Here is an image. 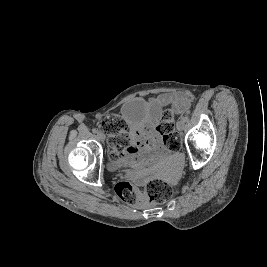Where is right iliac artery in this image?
<instances>
[{
  "label": "right iliac artery",
  "instance_id": "obj_1",
  "mask_svg": "<svg viewBox=\"0 0 267 267\" xmlns=\"http://www.w3.org/2000/svg\"><path fill=\"white\" fill-rule=\"evenodd\" d=\"M92 132H93V133H97V129H96V128H93V129H92Z\"/></svg>",
  "mask_w": 267,
  "mask_h": 267
}]
</instances>
